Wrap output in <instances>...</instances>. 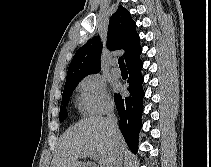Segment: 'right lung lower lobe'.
I'll list each match as a JSON object with an SVG mask.
<instances>
[{
  "label": "right lung lower lobe",
  "mask_w": 211,
  "mask_h": 167,
  "mask_svg": "<svg viewBox=\"0 0 211 167\" xmlns=\"http://www.w3.org/2000/svg\"><path fill=\"white\" fill-rule=\"evenodd\" d=\"M142 66L143 62L140 60V58L127 65V69L129 72V96L124 97L120 94L114 95V101L118 114L120 116V130L123 137L125 138L128 147L133 152H137L138 137L142 127V102L145 95L142 87L144 80L141 74Z\"/></svg>",
  "instance_id": "right-lung-lower-lobe-1"
}]
</instances>
